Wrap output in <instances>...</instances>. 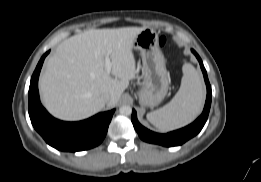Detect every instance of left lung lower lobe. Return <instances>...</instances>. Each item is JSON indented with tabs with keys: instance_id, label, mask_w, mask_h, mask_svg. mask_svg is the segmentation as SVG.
<instances>
[{
	"instance_id": "1",
	"label": "left lung lower lobe",
	"mask_w": 261,
	"mask_h": 182,
	"mask_svg": "<svg viewBox=\"0 0 261 182\" xmlns=\"http://www.w3.org/2000/svg\"><path fill=\"white\" fill-rule=\"evenodd\" d=\"M192 52L197 57V59L200 63V67L202 69L206 87H207V97H206L205 107H204V110H203L201 116L197 120H195L192 124L182 128V129H179V130H176L173 132H169L167 134H158V133L152 132V131L148 130L147 128H145L144 126H142L137 120L136 111L133 110L131 121L133 123L135 130L137 131L138 135L140 136V138L143 141L153 143V144H159V145L166 146V147L178 146V145L185 143L187 140L191 139L195 135H197L203 128L204 124L206 123L208 114H209V110H210V106H211L212 91H211V86H210V83H209V80L207 77V72L204 68L201 58L193 49H192Z\"/></svg>"
}]
</instances>
